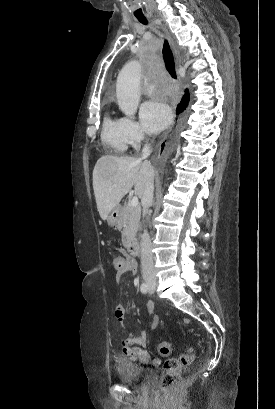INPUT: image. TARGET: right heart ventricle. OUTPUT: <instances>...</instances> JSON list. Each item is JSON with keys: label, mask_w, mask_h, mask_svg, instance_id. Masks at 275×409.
<instances>
[{"label": "right heart ventricle", "mask_w": 275, "mask_h": 409, "mask_svg": "<svg viewBox=\"0 0 275 409\" xmlns=\"http://www.w3.org/2000/svg\"><path fill=\"white\" fill-rule=\"evenodd\" d=\"M102 140L111 154H125L128 148V141L122 120L106 116L102 127Z\"/></svg>", "instance_id": "1"}]
</instances>
